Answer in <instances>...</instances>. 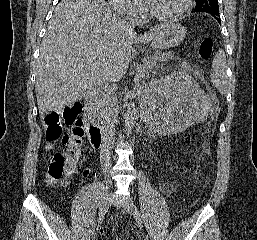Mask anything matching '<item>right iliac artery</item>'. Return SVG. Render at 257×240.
<instances>
[{
    "label": "right iliac artery",
    "mask_w": 257,
    "mask_h": 240,
    "mask_svg": "<svg viewBox=\"0 0 257 240\" xmlns=\"http://www.w3.org/2000/svg\"><path fill=\"white\" fill-rule=\"evenodd\" d=\"M108 210V208L105 210V212ZM104 212V213H105ZM104 214H99V217H103Z\"/></svg>",
    "instance_id": "82829eb1"
}]
</instances>
